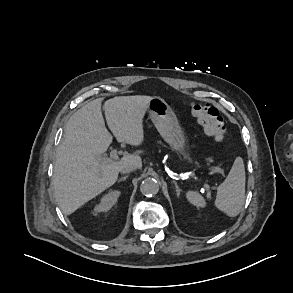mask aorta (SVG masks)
I'll return each mask as SVG.
<instances>
[{"instance_id":"aorta-1","label":"aorta","mask_w":293,"mask_h":293,"mask_svg":"<svg viewBox=\"0 0 293 293\" xmlns=\"http://www.w3.org/2000/svg\"><path fill=\"white\" fill-rule=\"evenodd\" d=\"M140 191L145 196L156 195L159 191V183L156 179L148 177L141 183Z\"/></svg>"}]
</instances>
